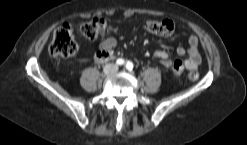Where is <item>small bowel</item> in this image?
<instances>
[{"mask_svg":"<svg viewBox=\"0 0 247 145\" xmlns=\"http://www.w3.org/2000/svg\"><path fill=\"white\" fill-rule=\"evenodd\" d=\"M117 40L114 37H108L100 42L99 52H109L111 49L116 47ZM178 56L187 55V59L184 64L185 67L190 71H196L201 63V56L198 51V38L194 35L190 36L188 39L187 47L179 46L176 49ZM155 56L162 60L163 64L168 67L171 65V59L169 55L164 51H158Z\"/></svg>","mask_w":247,"mask_h":145,"instance_id":"1","label":"small bowel"}]
</instances>
